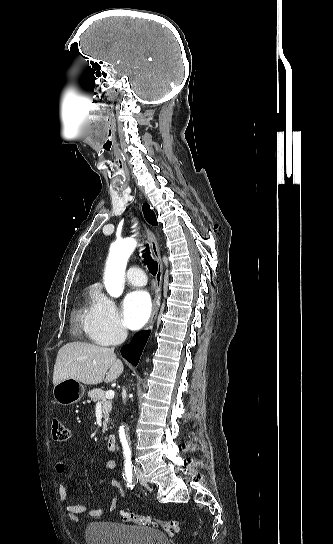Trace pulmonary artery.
Returning a JSON list of instances; mask_svg holds the SVG:
<instances>
[{"mask_svg": "<svg viewBox=\"0 0 333 544\" xmlns=\"http://www.w3.org/2000/svg\"><path fill=\"white\" fill-rule=\"evenodd\" d=\"M126 278L129 284L136 287H142L147 282L144 271L139 267H131L126 273Z\"/></svg>", "mask_w": 333, "mask_h": 544, "instance_id": "1", "label": "pulmonary artery"}]
</instances>
